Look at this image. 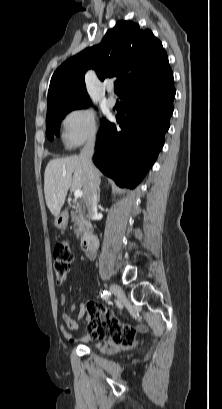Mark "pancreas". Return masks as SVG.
Returning a JSON list of instances; mask_svg holds the SVG:
<instances>
[{"label":"pancreas","instance_id":"cf45deb5","mask_svg":"<svg viewBox=\"0 0 222 409\" xmlns=\"http://www.w3.org/2000/svg\"><path fill=\"white\" fill-rule=\"evenodd\" d=\"M73 211H71V220L74 223V226L77 228L76 234L81 236L83 239L89 230L88 222L85 217L84 209L81 204L77 203L76 200L73 201Z\"/></svg>","mask_w":222,"mask_h":409}]
</instances>
